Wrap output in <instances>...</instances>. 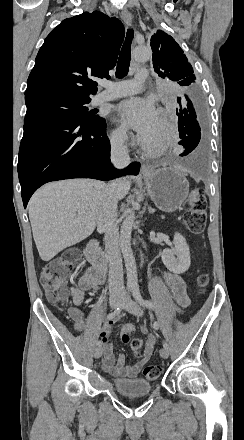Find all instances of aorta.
I'll list each match as a JSON object with an SVG mask.
<instances>
[{
  "instance_id": "aorta-1",
  "label": "aorta",
  "mask_w": 244,
  "mask_h": 440,
  "mask_svg": "<svg viewBox=\"0 0 244 440\" xmlns=\"http://www.w3.org/2000/svg\"><path fill=\"white\" fill-rule=\"evenodd\" d=\"M151 54L152 52L149 48L137 47L134 49L133 56L137 61H147L151 57ZM134 220L135 212L133 208H131L120 230V248L126 267L127 285L130 287L136 286L138 283L136 262L131 248V232Z\"/></svg>"
}]
</instances>
